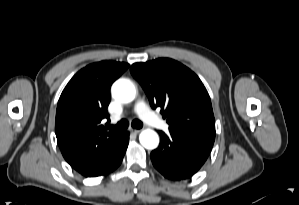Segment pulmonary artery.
<instances>
[{"mask_svg": "<svg viewBox=\"0 0 299 205\" xmlns=\"http://www.w3.org/2000/svg\"><path fill=\"white\" fill-rule=\"evenodd\" d=\"M134 111L136 112V114L139 115V117L144 122H146L150 126H153L155 128H159V129H166L167 128V124L162 119L157 117L149 109V107L146 105V103L144 101H138L135 104Z\"/></svg>", "mask_w": 299, "mask_h": 205, "instance_id": "1", "label": "pulmonary artery"}]
</instances>
